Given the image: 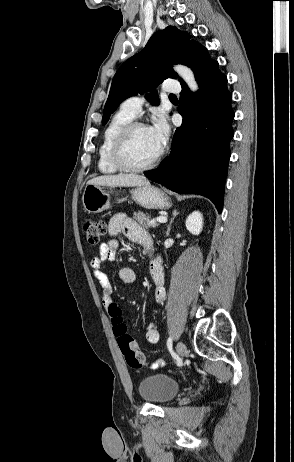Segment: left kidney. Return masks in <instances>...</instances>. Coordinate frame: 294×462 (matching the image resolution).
Masks as SVG:
<instances>
[{
  "label": "left kidney",
  "instance_id": "left-kidney-1",
  "mask_svg": "<svg viewBox=\"0 0 294 462\" xmlns=\"http://www.w3.org/2000/svg\"><path fill=\"white\" fill-rule=\"evenodd\" d=\"M186 228L193 235H199L203 229V216L199 211L192 212L186 219Z\"/></svg>",
  "mask_w": 294,
  "mask_h": 462
}]
</instances>
